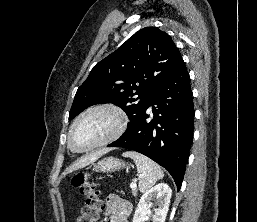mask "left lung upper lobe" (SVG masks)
<instances>
[{"instance_id":"5c2ea615","label":"left lung upper lobe","mask_w":257,"mask_h":222,"mask_svg":"<svg viewBox=\"0 0 257 222\" xmlns=\"http://www.w3.org/2000/svg\"><path fill=\"white\" fill-rule=\"evenodd\" d=\"M181 61V54L167 33L156 27L139 30L93 67L77 90L69 119L89 106L113 103L126 112L130 127L157 87Z\"/></svg>"}]
</instances>
